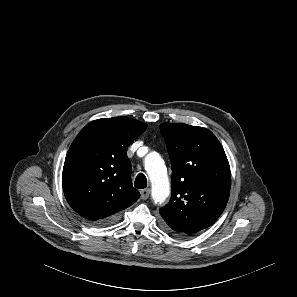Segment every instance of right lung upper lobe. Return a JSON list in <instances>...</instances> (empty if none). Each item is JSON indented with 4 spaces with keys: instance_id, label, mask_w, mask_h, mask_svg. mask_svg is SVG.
<instances>
[{
    "instance_id": "cb5924a9",
    "label": "right lung upper lobe",
    "mask_w": 297,
    "mask_h": 297,
    "mask_svg": "<svg viewBox=\"0 0 297 297\" xmlns=\"http://www.w3.org/2000/svg\"><path fill=\"white\" fill-rule=\"evenodd\" d=\"M146 127L135 119L113 117L94 120L80 131L62 175L65 198L77 213L99 223L138 200L127 148Z\"/></svg>"
}]
</instances>
